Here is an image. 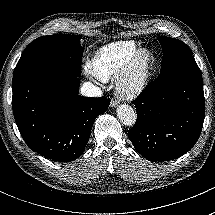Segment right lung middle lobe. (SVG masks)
Listing matches in <instances>:
<instances>
[{
  "mask_svg": "<svg viewBox=\"0 0 215 215\" xmlns=\"http://www.w3.org/2000/svg\"><path fill=\"white\" fill-rule=\"evenodd\" d=\"M80 38L78 35L55 34L35 39L22 53L13 72V81L38 71L80 76L84 51Z\"/></svg>",
  "mask_w": 215,
  "mask_h": 215,
  "instance_id": "right-lung-middle-lobe-1",
  "label": "right lung middle lobe"
}]
</instances>
